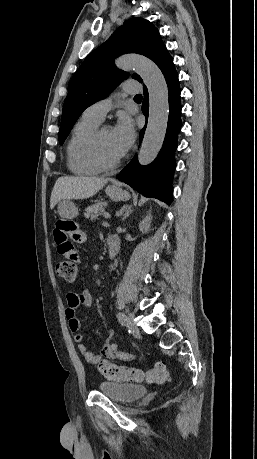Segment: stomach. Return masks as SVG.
<instances>
[{"mask_svg":"<svg viewBox=\"0 0 257 459\" xmlns=\"http://www.w3.org/2000/svg\"><path fill=\"white\" fill-rule=\"evenodd\" d=\"M105 191L109 198L115 202L128 200L130 198L129 193L122 190V188L117 185L108 186ZM58 213L61 217H70V219H74L78 216V208L72 201L63 199L59 201Z\"/></svg>","mask_w":257,"mask_h":459,"instance_id":"1","label":"stomach"}]
</instances>
